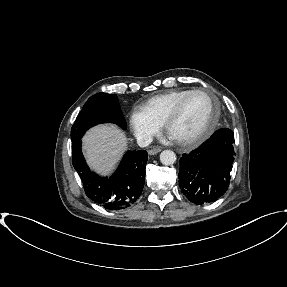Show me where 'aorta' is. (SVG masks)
I'll use <instances>...</instances> for the list:
<instances>
[{"label":"aorta","instance_id":"obj_1","mask_svg":"<svg viewBox=\"0 0 287 287\" xmlns=\"http://www.w3.org/2000/svg\"><path fill=\"white\" fill-rule=\"evenodd\" d=\"M176 154L171 150H164L160 154V162L163 165H172L176 161Z\"/></svg>","mask_w":287,"mask_h":287}]
</instances>
